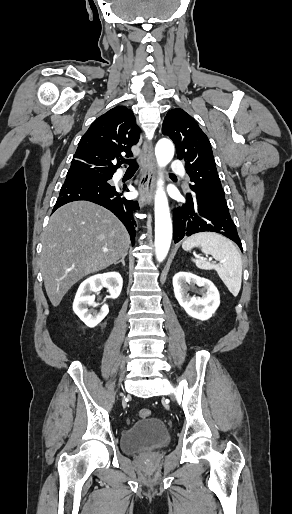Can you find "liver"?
Masks as SVG:
<instances>
[{
  "label": "liver",
  "mask_w": 292,
  "mask_h": 514,
  "mask_svg": "<svg viewBox=\"0 0 292 514\" xmlns=\"http://www.w3.org/2000/svg\"><path fill=\"white\" fill-rule=\"evenodd\" d=\"M41 242V274L56 308L84 276L127 256L130 236L109 210L92 202H71L52 214Z\"/></svg>",
  "instance_id": "liver-1"
}]
</instances>
